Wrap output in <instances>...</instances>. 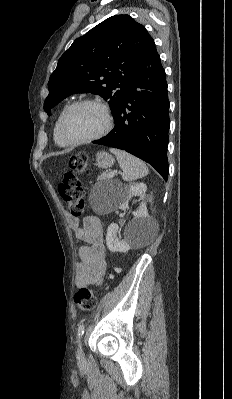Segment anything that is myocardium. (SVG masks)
Returning <instances> with one entry per match:
<instances>
[{
	"label": "myocardium",
	"instance_id": "obj_1",
	"mask_svg": "<svg viewBox=\"0 0 232 399\" xmlns=\"http://www.w3.org/2000/svg\"><path fill=\"white\" fill-rule=\"evenodd\" d=\"M79 105H96L103 109L105 116H106V124H105V127L98 134L90 136L88 138H84V139H74L68 134V132L66 130L67 117L70 114V112L76 106H79ZM113 124H114L113 115H112L111 109L109 108V106L107 104H105L99 100L84 99V100L76 101V102L70 104L66 108V110L64 111V113L61 117V120H60V132H61L62 136L64 137V139L66 141H68L69 143H71L72 145H80V144H86V143L98 141V140L104 138L111 132V130L113 128Z\"/></svg>",
	"mask_w": 232,
	"mask_h": 399
}]
</instances>
